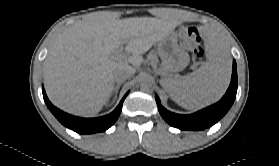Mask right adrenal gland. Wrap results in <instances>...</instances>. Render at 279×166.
Segmentation results:
<instances>
[{"label": "right adrenal gland", "mask_w": 279, "mask_h": 166, "mask_svg": "<svg viewBox=\"0 0 279 166\" xmlns=\"http://www.w3.org/2000/svg\"><path fill=\"white\" fill-rule=\"evenodd\" d=\"M121 85H122V83H118V84L115 86V88H114V90H113L115 96L117 95L118 90H119V88H120Z\"/></svg>", "instance_id": "right-adrenal-gland-1"}]
</instances>
